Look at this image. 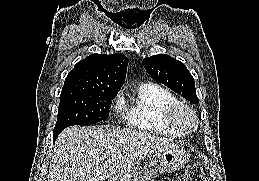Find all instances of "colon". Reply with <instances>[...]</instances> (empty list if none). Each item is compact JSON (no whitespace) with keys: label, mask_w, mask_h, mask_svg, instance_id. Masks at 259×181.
Segmentation results:
<instances>
[{"label":"colon","mask_w":259,"mask_h":181,"mask_svg":"<svg viewBox=\"0 0 259 181\" xmlns=\"http://www.w3.org/2000/svg\"><path fill=\"white\" fill-rule=\"evenodd\" d=\"M174 181H204V171L200 164L189 165L184 174Z\"/></svg>","instance_id":"5ec220e1"}]
</instances>
